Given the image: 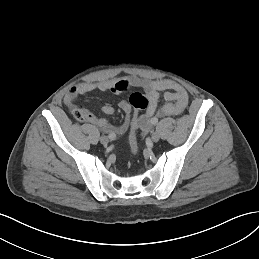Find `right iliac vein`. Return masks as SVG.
I'll return each mask as SVG.
<instances>
[{
    "mask_svg": "<svg viewBox=\"0 0 259 259\" xmlns=\"http://www.w3.org/2000/svg\"><path fill=\"white\" fill-rule=\"evenodd\" d=\"M100 142H101L103 145H106V144H108L109 139H108V137H106V136H101V137H100Z\"/></svg>",
    "mask_w": 259,
    "mask_h": 259,
    "instance_id": "63e3f726",
    "label": "right iliac vein"
}]
</instances>
